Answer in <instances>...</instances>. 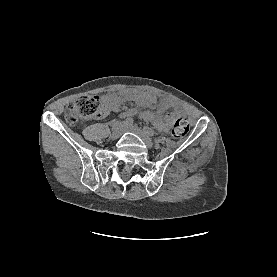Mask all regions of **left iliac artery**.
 <instances>
[{
	"mask_svg": "<svg viewBox=\"0 0 277 277\" xmlns=\"http://www.w3.org/2000/svg\"><path fill=\"white\" fill-rule=\"evenodd\" d=\"M143 131L147 134V135H149V136H154L155 135V132L151 129V128H149V127H147V126H144L143 127Z\"/></svg>",
	"mask_w": 277,
	"mask_h": 277,
	"instance_id": "1",
	"label": "left iliac artery"
}]
</instances>
